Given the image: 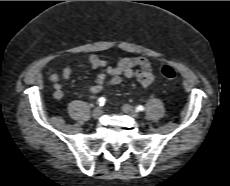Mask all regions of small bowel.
Here are the masks:
<instances>
[{"label":"small bowel","mask_w":230,"mask_h":186,"mask_svg":"<svg viewBox=\"0 0 230 186\" xmlns=\"http://www.w3.org/2000/svg\"><path fill=\"white\" fill-rule=\"evenodd\" d=\"M89 64L97 71L93 84L87 88L89 95H96L107 87L118 85L124 79L135 78L143 88H149L155 80L150 62L143 57H125L115 66H111L98 55L92 54L89 57ZM72 73L73 68L66 66L62 70L61 78L67 81ZM51 80L53 81L55 98L62 99L64 93L59 77L54 74L51 76Z\"/></svg>","instance_id":"small-bowel-1"}]
</instances>
